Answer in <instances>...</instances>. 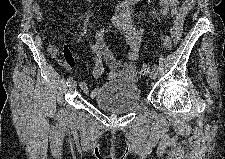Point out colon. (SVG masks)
Wrapping results in <instances>:
<instances>
[{
	"instance_id": "colon-1",
	"label": "colon",
	"mask_w": 225,
	"mask_h": 159,
	"mask_svg": "<svg viewBox=\"0 0 225 159\" xmlns=\"http://www.w3.org/2000/svg\"><path fill=\"white\" fill-rule=\"evenodd\" d=\"M171 46H172L171 39L169 37H165L163 39V50L167 51L171 48ZM150 70H151V64L146 62L142 65L140 73L142 75H147L150 72Z\"/></svg>"
}]
</instances>
